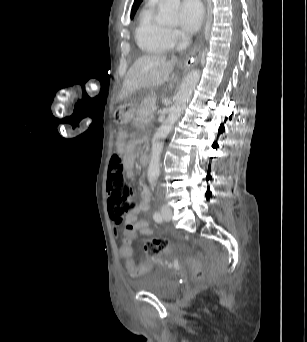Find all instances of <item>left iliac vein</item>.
Returning <instances> with one entry per match:
<instances>
[{
    "label": "left iliac vein",
    "instance_id": "obj_1",
    "mask_svg": "<svg viewBox=\"0 0 307 342\" xmlns=\"http://www.w3.org/2000/svg\"><path fill=\"white\" fill-rule=\"evenodd\" d=\"M172 210L168 206H163L161 209V216L164 220L170 221L172 219Z\"/></svg>",
    "mask_w": 307,
    "mask_h": 342
}]
</instances>
